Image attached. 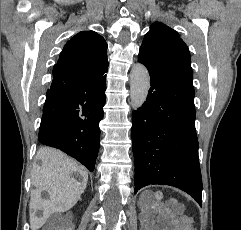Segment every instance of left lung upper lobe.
Segmentation results:
<instances>
[{"label": "left lung upper lobe", "mask_w": 241, "mask_h": 230, "mask_svg": "<svg viewBox=\"0 0 241 230\" xmlns=\"http://www.w3.org/2000/svg\"><path fill=\"white\" fill-rule=\"evenodd\" d=\"M139 62L147 68L192 82L190 53L179 34L160 22L150 26L139 50Z\"/></svg>", "instance_id": "1"}]
</instances>
